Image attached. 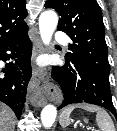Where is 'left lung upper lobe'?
Wrapping results in <instances>:
<instances>
[{
  "label": "left lung upper lobe",
  "instance_id": "left-lung-upper-lobe-1",
  "mask_svg": "<svg viewBox=\"0 0 117 131\" xmlns=\"http://www.w3.org/2000/svg\"><path fill=\"white\" fill-rule=\"evenodd\" d=\"M59 15L57 29L74 42L65 59L79 62L109 82L110 65L101 9L96 0H47Z\"/></svg>",
  "mask_w": 117,
  "mask_h": 131
}]
</instances>
